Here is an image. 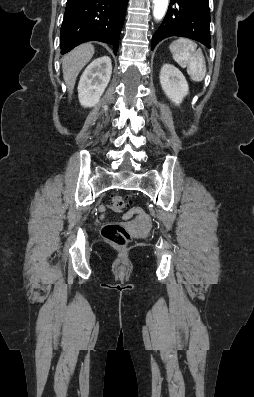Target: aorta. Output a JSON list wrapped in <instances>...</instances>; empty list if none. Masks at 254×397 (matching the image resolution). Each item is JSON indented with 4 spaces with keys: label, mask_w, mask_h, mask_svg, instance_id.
Listing matches in <instances>:
<instances>
[{
    "label": "aorta",
    "mask_w": 254,
    "mask_h": 397,
    "mask_svg": "<svg viewBox=\"0 0 254 397\" xmlns=\"http://www.w3.org/2000/svg\"><path fill=\"white\" fill-rule=\"evenodd\" d=\"M169 0H153L154 10L153 15L156 20H160L166 13Z\"/></svg>",
    "instance_id": "762f6f07"
}]
</instances>
